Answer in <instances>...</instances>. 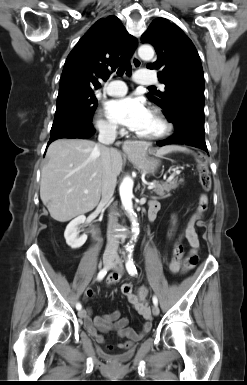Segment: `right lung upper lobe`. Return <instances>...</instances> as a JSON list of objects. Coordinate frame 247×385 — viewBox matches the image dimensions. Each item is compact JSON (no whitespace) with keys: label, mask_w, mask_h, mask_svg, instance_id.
<instances>
[{"label":"right lung upper lobe","mask_w":247,"mask_h":385,"mask_svg":"<svg viewBox=\"0 0 247 385\" xmlns=\"http://www.w3.org/2000/svg\"><path fill=\"white\" fill-rule=\"evenodd\" d=\"M138 41L116 16L101 18L78 41L68 55L61 75L59 93L93 91L107 80L119 64L130 57Z\"/></svg>","instance_id":"1"}]
</instances>
